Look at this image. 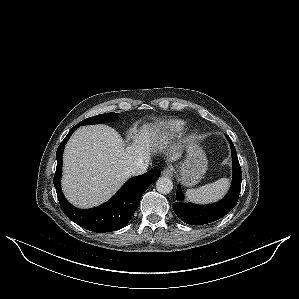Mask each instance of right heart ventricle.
Returning a JSON list of instances; mask_svg holds the SVG:
<instances>
[{
  "mask_svg": "<svg viewBox=\"0 0 299 299\" xmlns=\"http://www.w3.org/2000/svg\"><path fill=\"white\" fill-rule=\"evenodd\" d=\"M186 125V121L182 119H173L164 122L162 124V131L158 138V142L164 143L169 138L178 136L184 131Z\"/></svg>",
  "mask_w": 299,
  "mask_h": 299,
  "instance_id": "obj_1",
  "label": "right heart ventricle"
}]
</instances>
